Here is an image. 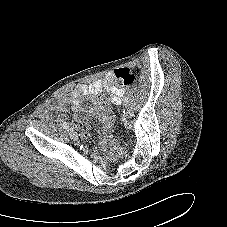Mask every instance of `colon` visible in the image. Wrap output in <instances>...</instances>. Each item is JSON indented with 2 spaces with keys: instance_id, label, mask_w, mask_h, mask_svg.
<instances>
[{
  "instance_id": "5ec220e1",
  "label": "colon",
  "mask_w": 227,
  "mask_h": 227,
  "mask_svg": "<svg viewBox=\"0 0 227 227\" xmlns=\"http://www.w3.org/2000/svg\"><path fill=\"white\" fill-rule=\"evenodd\" d=\"M135 81V75L126 68H121L115 71V85L119 88H123L131 85ZM98 108L100 111L105 112L109 108L108 99L105 96H100L98 100ZM113 151L118 156H124L126 153L121 146L114 142L112 144Z\"/></svg>"
}]
</instances>
